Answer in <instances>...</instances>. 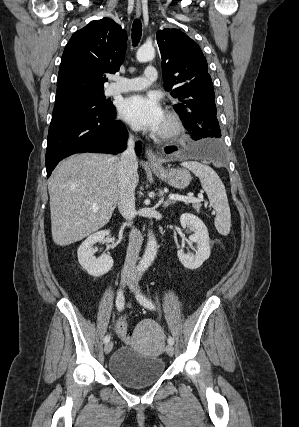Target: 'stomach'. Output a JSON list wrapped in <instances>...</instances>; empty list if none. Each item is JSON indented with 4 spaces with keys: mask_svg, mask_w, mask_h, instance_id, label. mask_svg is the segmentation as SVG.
<instances>
[{
    "mask_svg": "<svg viewBox=\"0 0 299 427\" xmlns=\"http://www.w3.org/2000/svg\"><path fill=\"white\" fill-rule=\"evenodd\" d=\"M151 169L156 176L177 189H184L191 182L190 173L184 169H166L162 166H151Z\"/></svg>",
    "mask_w": 299,
    "mask_h": 427,
    "instance_id": "obj_1",
    "label": "stomach"
}]
</instances>
